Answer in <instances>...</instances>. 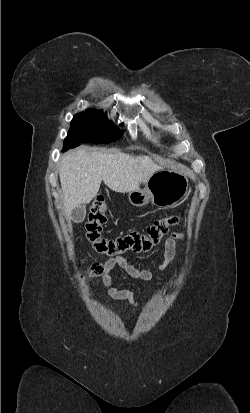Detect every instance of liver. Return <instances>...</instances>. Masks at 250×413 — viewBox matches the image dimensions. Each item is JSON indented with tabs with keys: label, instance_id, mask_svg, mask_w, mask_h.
<instances>
[{
	"label": "liver",
	"instance_id": "liver-1",
	"mask_svg": "<svg viewBox=\"0 0 250 413\" xmlns=\"http://www.w3.org/2000/svg\"><path fill=\"white\" fill-rule=\"evenodd\" d=\"M162 168L145 155L105 154L85 147L64 154L59 177L67 219L75 207L90 203L102 181L115 192L129 193Z\"/></svg>",
	"mask_w": 250,
	"mask_h": 413
}]
</instances>
